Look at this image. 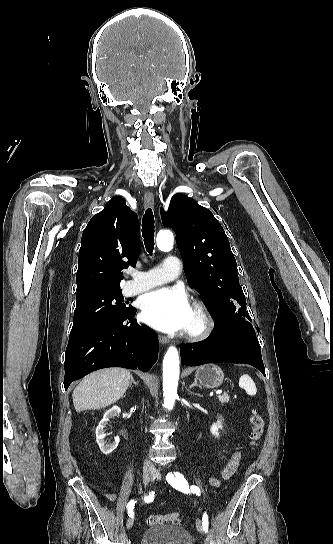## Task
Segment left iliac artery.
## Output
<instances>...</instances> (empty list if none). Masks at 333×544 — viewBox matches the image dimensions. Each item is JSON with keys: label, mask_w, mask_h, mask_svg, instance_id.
Instances as JSON below:
<instances>
[{"label": "left iliac artery", "mask_w": 333, "mask_h": 544, "mask_svg": "<svg viewBox=\"0 0 333 544\" xmlns=\"http://www.w3.org/2000/svg\"><path fill=\"white\" fill-rule=\"evenodd\" d=\"M167 482L175 489L183 493H193L200 495V489L197 486H190L184 476L179 472L168 473L166 476ZM208 515L205 512L202 517V526L205 532L208 531Z\"/></svg>", "instance_id": "obj_1"}]
</instances>
